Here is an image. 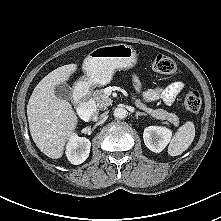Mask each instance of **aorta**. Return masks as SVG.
Segmentation results:
<instances>
[{
    "instance_id": "obj_1",
    "label": "aorta",
    "mask_w": 221,
    "mask_h": 221,
    "mask_svg": "<svg viewBox=\"0 0 221 221\" xmlns=\"http://www.w3.org/2000/svg\"><path fill=\"white\" fill-rule=\"evenodd\" d=\"M113 115L116 119H124L127 116V111L124 108H115Z\"/></svg>"
}]
</instances>
